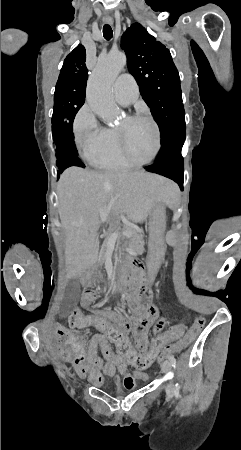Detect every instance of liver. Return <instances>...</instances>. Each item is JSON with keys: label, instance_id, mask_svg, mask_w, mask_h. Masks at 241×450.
Here are the masks:
<instances>
[{"label": "liver", "instance_id": "6515ba94", "mask_svg": "<svg viewBox=\"0 0 241 450\" xmlns=\"http://www.w3.org/2000/svg\"><path fill=\"white\" fill-rule=\"evenodd\" d=\"M169 180L147 172H92L67 168L57 184L59 216L66 230V264L81 276L98 260V230L108 216L124 212L128 220H145L157 202H166Z\"/></svg>", "mask_w": 241, "mask_h": 450}]
</instances>
